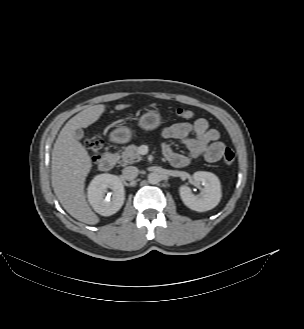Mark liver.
Listing matches in <instances>:
<instances>
[{
    "instance_id": "liver-1",
    "label": "liver",
    "mask_w": 304,
    "mask_h": 329,
    "mask_svg": "<svg viewBox=\"0 0 304 329\" xmlns=\"http://www.w3.org/2000/svg\"><path fill=\"white\" fill-rule=\"evenodd\" d=\"M130 104H118L123 110ZM105 105H92L72 117L60 131L52 150L51 179L54 192L64 209L75 219L89 225L99 222L89 207L84 187L92 162L86 149L75 138V131L95 123Z\"/></svg>"
}]
</instances>
